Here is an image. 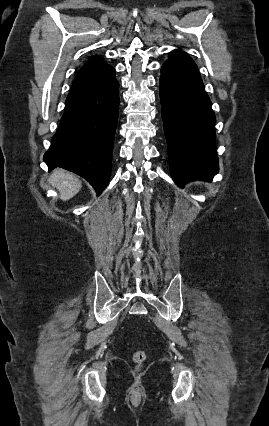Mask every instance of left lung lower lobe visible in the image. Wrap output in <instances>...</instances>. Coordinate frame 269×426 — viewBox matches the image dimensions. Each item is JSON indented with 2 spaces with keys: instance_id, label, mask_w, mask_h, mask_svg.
<instances>
[{
  "instance_id": "left-lung-lower-lobe-1",
  "label": "left lung lower lobe",
  "mask_w": 269,
  "mask_h": 426,
  "mask_svg": "<svg viewBox=\"0 0 269 426\" xmlns=\"http://www.w3.org/2000/svg\"><path fill=\"white\" fill-rule=\"evenodd\" d=\"M160 102L171 176L183 187L218 173L215 115L195 62L174 50L161 68Z\"/></svg>"
}]
</instances>
